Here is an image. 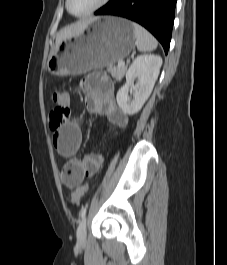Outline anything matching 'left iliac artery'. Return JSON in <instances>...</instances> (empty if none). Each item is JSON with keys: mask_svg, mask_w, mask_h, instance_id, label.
Instances as JSON below:
<instances>
[{"mask_svg": "<svg viewBox=\"0 0 227 265\" xmlns=\"http://www.w3.org/2000/svg\"><path fill=\"white\" fill-rule=\"evenodd\" d=\"M87 205L81 210V212H80V217L81 218H84L85 217V215H86V211H87Z\"/></svg>", "mask_w": 227, "mask_h": 265, "instance_id": "obj_1", "label": "left iliac artery"}]
</instances>
